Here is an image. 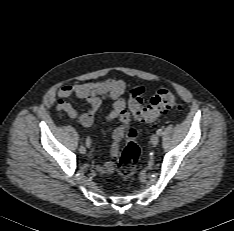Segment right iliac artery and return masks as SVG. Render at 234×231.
I'll list each match as a JSON object with an SVG mask.
<instances>
[{
  "instance_id": "right-iliac-artery-1",
  "label": "right iliac artery",
  "mask_w": 234,
  "mask_h": 231,
  "mask_svg": "<svg viewBox=\"0 0 234 231\" xmlns=\"http://www.w3.org/2000/svg\"><path fill=\"white\" fill-rule=\"evenodd\" d=\"M86 146L87 147L91 146V140L89 138L86 139Z\"/></svg>"
}]
</instances>
